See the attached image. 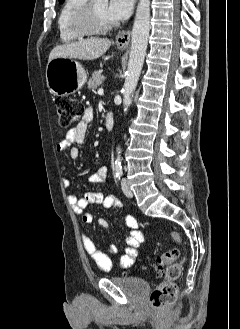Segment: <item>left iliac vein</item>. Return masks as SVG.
Returning <instances> with one entry per match:
<instances>
[{
    "label": "left iliac vein",
    "mask_w": 240,
    "mask_h": 329,
    "mask_svg": "<svg viewBox=\"0 0 240 329\" xmlns=\"http://www.w3.org/2000/svg\"><path fill=\"white\" fill-rule=\"evenodd\" d=\"M122 190L128 198L133 197V192L131 191L129 184L126 179H122Z\"/></svg>",
    "instance_id": "obj_1"
}]
</instances>
